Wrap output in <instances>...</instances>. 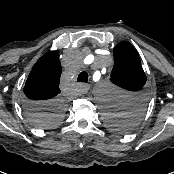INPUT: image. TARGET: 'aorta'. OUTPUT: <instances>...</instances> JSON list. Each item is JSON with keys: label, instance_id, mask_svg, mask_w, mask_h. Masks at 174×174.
Masks as SVG:
<instances>
[{"label": "aorta", "instance_id": "aorta-1", "mask_svg": "<svg viewBox=\"0 0 174 174\" xmlns=\"http://www.w3.org/2000/svg\"><path fill=\"white\" fill-rule=\"evenodd\" d=\"M113 93H114V90L111 86L109 85L99 86L97 96H98L99 102L101 103L104 109H108L109 107L113 106L114 104ZM112 112H115V111H110L109 113H112Z\"/></svg>", "mask_w": 174, "mask_h": 174}]
</instances>
